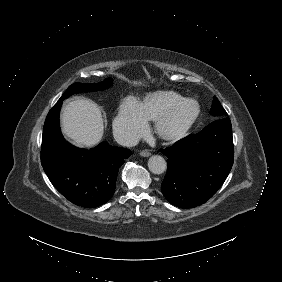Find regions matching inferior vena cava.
<instances>
[{"mask_svg": "<svg viewBox=\"0 0 282 282\" xmlns=\"http://www.w3.org/2000/svg\"><path fill=\"white\" fill-rule=\"evenodd\" d=\"M113 136L115 141L122 146L132 147L139 142L137 135L124 127H113Z\"/></svg>", "mask_w": 282, "mask_h": 282, "instance_id": "602c4592", "label": "inferior vena cava"}]
</instances>
